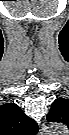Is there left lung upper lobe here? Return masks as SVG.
I'll return each instance as SVG.
<instances>
[{
    "label": "left lung upper lobe",
    "instance_id": "obj_1",
    "mask_svg": "<svg viewBox=\"0 0 69 135\" xmlns=\"http://www.w3.org/2000/svg\"><path fill=\"white\" fill-rule=\"evenodd\" d=\"M69 118V100L58 98L56 99L47 115V120L50 122H67Z\"/></svg>",
    "mask_w": 69,
    "mask_h": 135
}]
</instances>
